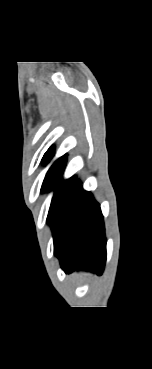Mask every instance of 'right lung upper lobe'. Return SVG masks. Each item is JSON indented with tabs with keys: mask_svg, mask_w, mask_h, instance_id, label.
Segmentation results:
<instances>
[{
	"mask_svg": "<svg viewBox=\"0 0 152 369\" xmlns=\"http://www.w3.org/2000/svg\"><path fill=\"white\" fill-rule=\"evenodd\" d=\"M53 150H54V147L53 146H51L50 148H49V150L45 153V155H44V157H43V159H42V161L45 163V162H48V161H50L51 160V158L53 157V155H54V152H53ZM66 164V157L65 156H62V157H60L59 159H57L55 162H54V164H53V166L54 165H65Z\"/></svg>",
	"mask_w": 152,
	"mask_h": 369,
	"instance_id": "1",
	"label": "right lung upper lobe"
}]
</instances>
